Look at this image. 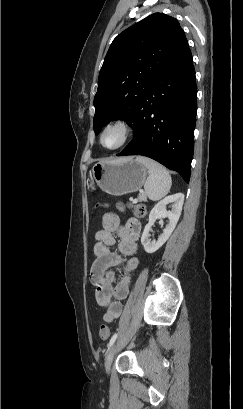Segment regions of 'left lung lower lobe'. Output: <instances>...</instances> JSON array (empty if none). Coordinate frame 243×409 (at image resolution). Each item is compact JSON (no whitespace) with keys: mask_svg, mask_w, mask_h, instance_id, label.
I'll list each match as a JSON object with an SVG mask.
<instances>
[{"mask_svg":"<svg viewBox=\"0 0 243 409\" xmlns=\"http://www.w3.org/2000/svg\"><path fill=\"white\" fill-rule=\"evenodd\" d=\"M196 98L193 59L185 39L153 79L130 126L134 138L117 156L150 157L189 182Z\"/></svg>","mask_w":243,"mask_h":409,"instance_id":"obj_1","label":"left lung lower lobe"}]
</instances>
